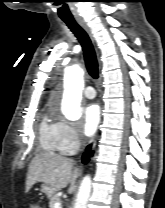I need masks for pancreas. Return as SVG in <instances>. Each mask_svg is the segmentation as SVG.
Returning <instances> with one entry per match:
<instances>
[{
    "label": "pancreas",
    "mask_w": 165,
    "mask_h": 208,
    "mask_svg": "<svg viewBox=\"0 0 165 208\" xmlns=\"http://www.w3.org/2000/svg\"><path fill=\"white\" fill-rule=\"evenodd\" d=\"M60 202V197L55 194L53 197L50 198L49 208H54L55 204Z\"/></svg>",
    "instance_id": "pancreas-1"
}]
</instances>
